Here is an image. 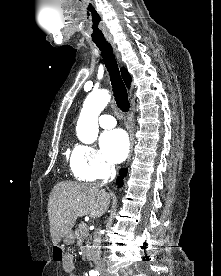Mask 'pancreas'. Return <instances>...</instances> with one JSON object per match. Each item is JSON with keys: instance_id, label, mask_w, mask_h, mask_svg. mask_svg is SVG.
Wrapping results in <instances>:
<instances>
[{"instance_id": "1", "label": "pancreas", "mask_w": 221, "mask_h": 276, "mask_svg": "<svg viewBox=\"0 0 221 276\" xmlns=\"http://www.w3.org/2000/svg\"><path fill=\"white\" fill-rule=\"evenodd\" d=\"M75 238L77 239V244L79 246H82L84 240L88 238V227L85 223L78 225L77 229L75 230Z\"/></svg>"}]
</instances>
